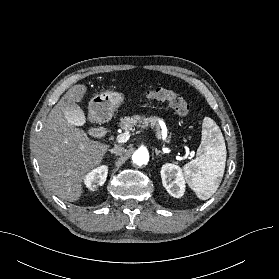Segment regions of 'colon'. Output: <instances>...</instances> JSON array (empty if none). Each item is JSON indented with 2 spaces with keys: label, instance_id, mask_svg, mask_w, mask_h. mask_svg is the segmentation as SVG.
Segmentation results:
<instances>
[{
  "label": "colon",
  "instance_id": "5ec220e1",
  "mask_svg": "<svg viewBox=\"0 0 279 279\" xmlns=\"http://www.w3.org/2000/svg\"><path fill=\"white\" fill-rule=\"evenodd\" d=\"M145 96L149 100L167 101L181 116H185L189 112V105L186 100L180 94L171 90L158 87L148 90Z\"/></svg>",
  "mask_w": 279,
  "mask_h": 279
}]
</instances>
